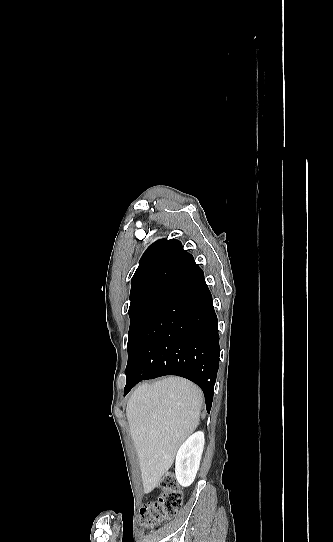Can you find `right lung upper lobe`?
<instances>
[{"instance_id": "obj_1", "label": "right lung upper lobe", "mask_w": 333, "mask_h": 542, "mask_svg": "<svg viewBox=\"0 0 333 542\" xmlns=\"http://www.w3.org/2000/svg\"><path fill=\"white\" fill-rule=\"evenodd\" d=\"M177 249L182 245L171 239L157 241L145 251L132 278L130 307L165 296L190 274L167 261V255Z\"/></svg>"}]
</instances>
